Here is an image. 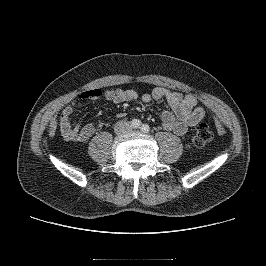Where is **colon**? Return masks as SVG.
<instances>
[{"instance_id": "5ec220e1", "label": "colon", "mask_w": 266, "mask_h": 266, "mask_svg": "<svg viewBox=\"0 0 266 266\" xmlns=\"http://www.w3.org/2000/svg\"><path fill=\"white\" fill-rule=\"evenodd\" d=\"M213 138L211 128L206 123H199L195 128L192 136V142L197 147H202L210 142Z\"/></svg>"}]
</instances>
